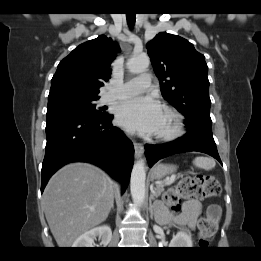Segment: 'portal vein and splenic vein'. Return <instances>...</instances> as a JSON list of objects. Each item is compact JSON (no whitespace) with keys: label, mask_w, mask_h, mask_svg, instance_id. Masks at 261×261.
<instances>
[{"label":"portal vein and splenic vein","mask_w":261,"mask_h":261,"mask_svg":"<svg viewBox=\"0 0 261 261\" xmlns=\"http://www.w3.org/2000/svg\"><path fill=\"white\" fill-rule=\"evenodd\" d=\"M175 175H173V176H171V178L170 179H168L167 181H166V183L165 184H171L172 182H174V180H175ZM160 184V183H159Z\"/></svg>","instance_id":"18ae733b"}]
</instances>
